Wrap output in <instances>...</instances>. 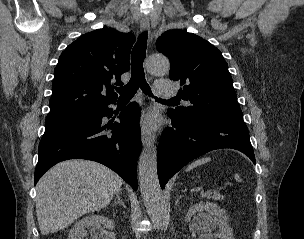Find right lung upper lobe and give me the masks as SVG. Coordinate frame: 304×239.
<instances>
[{
  "mask_svg": "<svg viewBox=\"0 0 304 239\" xmlns=\"http://www.w3.org/2000/svg\"><path fill=\"white\" fill-rule=\"evenodd\" d=\"M133 34L102 28L86 33L60 55L54 70L50 112L46 121L74 118L114 101L115 85L130 68Z\"/></svg>",
  "mask_w": 304,
  "mask_h": 239,
  "instance_id": "1",
  "label": "right lung upper lobe"
}]
</instances>
